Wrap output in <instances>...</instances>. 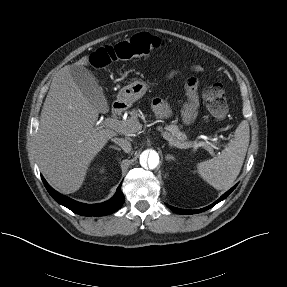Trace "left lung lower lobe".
I'll return each instance as SVG.
<instances>
[{"mask_svg": "<svg viewBox=\"0 0 287 287\" xmlns=\"http://www.w3.org/2000/svg\"><path fill=\"white\" fill-rule=\"evenodd\" d=\"M237 185H235L234 187H232L229 191H227L225 194H223L216 202H214L213 204L209 205L208 207H205L203 209H198V210H184V209H178V208H175V207H172V206H169L168 207L176 212V213H179V214H195V213H200V212H203L211 207H213L214 205H216L218 202L224 200L236 187Z\"/></svg>", "mask_w": 287, "mask_h": 287, "instance_id": "0a47b994", "label": "left lung lower lobe"}]
</instances>
